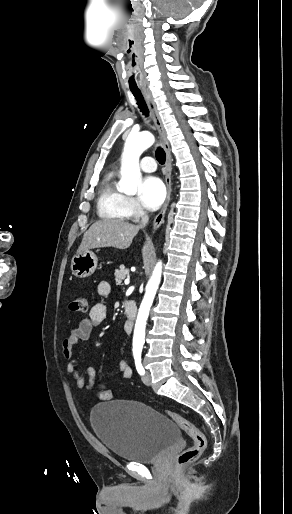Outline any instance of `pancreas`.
Segmentation results:
<instances>
[{
  "label": "pancreas",
  "instance_id": "obj_1",
  "mask_svg": "<svg viewBox=\"0 0 292 514\" xmlns=\"http://www.w3.org/2000/svg\"><path fill=\"white\" fill-rule=\"evenodd\" d=\"M129 274L128 268H125V266H120V270H115V280L117 284H121L122 280H125Z\"/></svg>",
  "mask_w": 292,
  "mask_h": 514
}]
</instances>
